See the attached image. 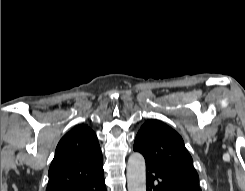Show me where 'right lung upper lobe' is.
Instances as JSON below:
<instances>
[{
  "instance_id": "obj_1",
  "label": "right lung upper lobe",
  "mask_w": 245,
  "mask_h": 191,
  "mask_svg": "<svg viewBox=\"0 0 245 191\" xmlns=\"http://www.w3.org/2000/svg\"><path fill=\"white\" fill-rule=\"evenodd\" d=\"M103 172L102 152L95 133L88 126L79 125L58 143L46 191H67Z\"/></svg>"
}]
</instances>
